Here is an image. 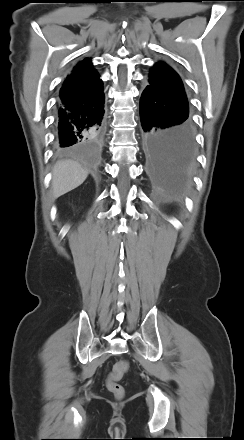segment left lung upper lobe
<instances>
[{"instance_id": "obj_1", "label": "left lung upper lobe", "mask_w": 244, "mask_h": 440, "mask_svg": "<svg viewBox=\"0 0 244 440\" xmlns=\"http://www.w3.org/2000/svg\"><path fill=\"white\" fill-rule=\"evenodd\" d=\"M150 86L175 105L189 110L187 97L179 75L166 63L158 62L149 73Z\"/></svg>"}]
</instances>
